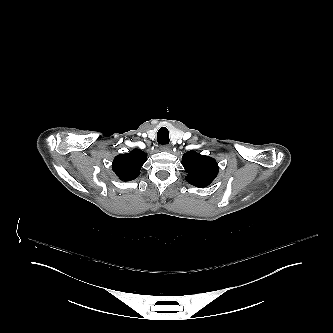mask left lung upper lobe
<instances>
[{
	"label": "left lung upper lobe",
	"mask_w": 333,
	"mask_h": 333,
	"mask_svg": "<svg viewBox=\"0 0 333 333\" xmlns=\"http://www.w3.org/2000/svg\"><path fill=\"white\" fill-rule=\"evenodd\" d=\"M186 181L199 188L208 186L217 176L219 167L214 158L188 151L182 157Z\"/></svg>",
	"instance_id": "left-lung-upper-lobe-1"
}]
</instances>
